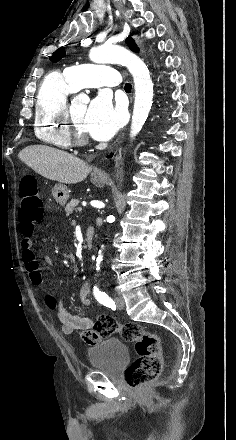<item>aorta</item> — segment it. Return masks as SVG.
<instances>
[{"instance_id": "obj_1", "label": "aorta", "mask_w": 236, "mask_h": 440, "mask_svg": "<svg viewBox=\"0 0 236 440\" xmlns=\"http://www.w3.org/2000/svg\"><path fill=\"white\" fill-rule=\"evenodd\" d=\"M89 57L95 63H112L126 66L133 76L135 101L130 136L134 138L148 118L153 100V83L147 65L136 54L119 45L104 44L90 51ZM103 260L101 250L96 259V270Z\"/></svg>"}]
</instances>
